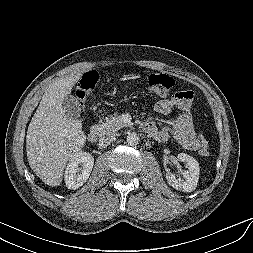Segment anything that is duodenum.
I'll list each match as a JSON object with an SVG mask.
<instances>
[{"mask_svg":"<svg viewBox=\"0 0 253 253\" xmlns=\"http://www.w3.org/2000/svg\"><path fill=\"white\" fill-rule=\"evenodd\" d=\"M100 135V127L98 124L92 125L89 133H88V140L90 142H96Z\"/></svg>","mask_w":253,"mask_h":253,"instance_id":"obj_1","label":"duodenum"}]
</instances>
